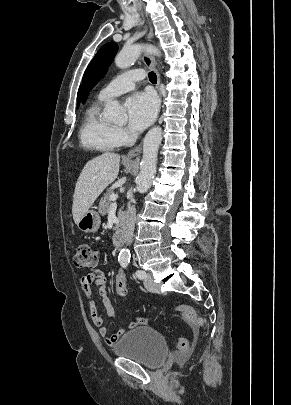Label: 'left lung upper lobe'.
Returning <instances> with one entry per match:
<instances>
[{"instance_id": "5c2ea615", "label": "left lung upper lobe", "mask_w": 291, "mask_h": 405, "mask_svg": "<svg viewBox=\"0 0 291 405\" xmlns=\"http://www.w3.org/2000/svg\"><path fill=\"white\" fill-rule=\"evenodd\" d=\"M118 45L115 42H109L103 45L93 60L88 65L83 76V97L82 102L87 99L89 91L104 76L107 67L117 53Z\"/></svg>"}]
</instances>
